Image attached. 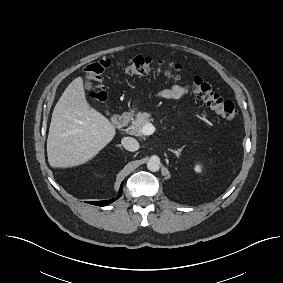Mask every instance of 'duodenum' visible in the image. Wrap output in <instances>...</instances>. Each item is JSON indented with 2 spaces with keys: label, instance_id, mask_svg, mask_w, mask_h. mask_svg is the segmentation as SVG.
<instances>
[{
  "label": "duodenum",
  "instance_id": "duodenum-1",
  "mask_svg": "<svg viewBox=\"0 0 283 283\" xmlns=\"http://www.w3.org/2000/svg\"><path fill=\"white\" fill-rule=\"evenodd\" d=\"M131 118H132V113L130 112H124L122 114L116 115L113 118V125L116 128H123L130 122Z\"/></svg>",
  "mask_w": 283,
  "mask_h": 283
}]
</instances>
